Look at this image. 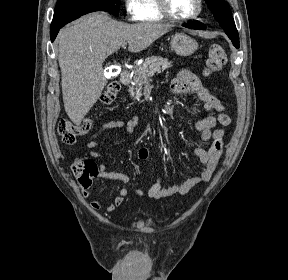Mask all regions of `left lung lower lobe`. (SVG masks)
<instances>
[{"instance_id": "left-lung-lower-lobe-1", "label": "left lung lower lobe", "mask_w": 288, "mask_h": 280, "mask_svg": "<svg viewBox=\"0 0 288 280\" xmlns=\"http://www.w3.org/2000/svg\"><path fill=\"white\" fill-rule=\"evenodd\" d=\"M184 27L192 28V29H205V26L201 24L199 21H193L187 24H183ZM239 48V47H236Z\"/></svg>"}]
</instances>
